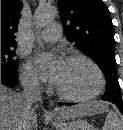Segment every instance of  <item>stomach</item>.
<instances>
[{
	"label": "stomach",
	"mask_w": 123,
	"mask_h": 130,
	"mask_svg": "<svg viewBox=\"0 0 123 130\" xmlns=\"http://www.w3.org/2000/svg\"><path fill=\"white\" fill-rule=\"evenodd\" d=\"M53 125L57 130H94L91 124L80 118L69 122H64L56 118L53 121Z\"/></svg>",
	"instance_id": "1"
}]
</instances>
